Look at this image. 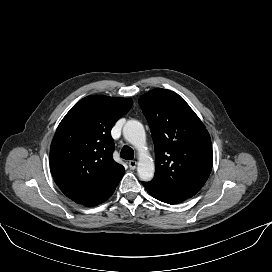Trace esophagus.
Here are the masks:
<instances>
[{
    "label": "esophagus",
    "instance_id": "obj_1",
    "mask_svg": "<svg viewBox=\"0 0 272 272\" xmlns=\"http://www.w3.org/2000/svg\"><path fill=\"white\" fill-rule=\"evenodd\" d=\"M128 164L131 170H134L137 166V162L134 160L129 161Z\"/></svg>",
    "mask_w": 272,
    "mask_h": 272
}]
</instances>
